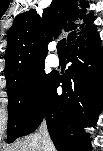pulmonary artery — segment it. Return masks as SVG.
<instances>
[{
  "instance_id": "obj_1",
  "label": "pulmonary artery",
  "mask_w": 103,
  "mask_h": 151,
  "mask_svg": "<svg viewBox=\"0 0 103 151\" xmlns=\"http://www.w3.org/2000/svg\"><path fill=\"white\" fill-rule=\"evenodd\" d=\"M49 63L52 66H57L58 65V58H57V56H55V55L50 56L49 57Z\"/></svg>"
}]
</instances>
